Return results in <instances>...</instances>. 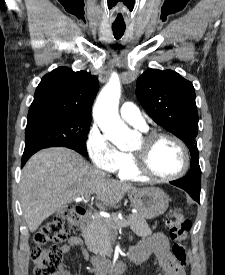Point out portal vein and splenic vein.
<instances>
[{
  "label": "portal vein and splenic vein",
  "mask_w": 225,
  "mask_h": 275,
  "mask_svg": "<svg viewBox=\"0 0 225 275\" xmlns=\"http://www.w3.org/2000/svg\"><path fill=\"white\" fill-rule=\"evenodd\" d=\"M82 199L81 198H77L76 199V201H81ZM130 223V221L129 220H127V221H124V225H127V224H129Z\"/></svg>",
  "instance_id": "1"
}]
</instances>
